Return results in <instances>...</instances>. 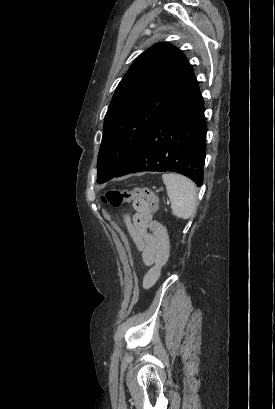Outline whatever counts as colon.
<instances>
[{
    "label": "colon",
    "instance_id": "colon-1",
    "mask_svg": "<svg viewBox=\"0 0 275 409\" xmlns=\"http://www.w3.org/2000/svg\"><path fill=\"white\" fill-rule=\"evenodd\" d=\"M138 199L146 200L151 212H156L159 208L158 197L148 188L132 190L112 188L103 196V201L113 208H119L124 203L135 202Z\"/></svg>",
    "mask_w": 275,
    "mask_h": 409
}]
</instances>
